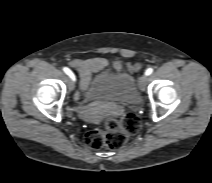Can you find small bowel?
I'll return each mask as SVG.
<instances>
[{
	"mask_svg": "<svg viewBox=\"0 0 212 183\" xmlns=\"http://www.w3.org/2000/svg\"><path fill=\"white\" fill-rule=\"evenodd\" d=\"M70 65L79 72L80 86L81 89L84 90L90 83L93 75L103 70L108 65V61L100 57L89 59H74L70 62ZM113 66L118 71L123 68V65L118 61H115ZM127 68L134 72L139 69V65L128 64Z\"/></svg>",
	"mask_w": 212,
	"mask_h": 183,
	"instance_id": "small-bowel-1",
	"label": "small bowel"
}]
</instances>
